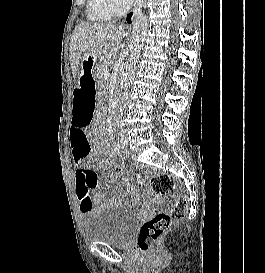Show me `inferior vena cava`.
Returning a JSON list of instances; mask_svg holds the SVG:
<instances>
[{
	"label": "inferior vena cava",
	"mask_w": 265,
	"mask_h": 273,
	"mask_svg": "<svg viewBox=\"0 0 265 273\" xmlns=\"http://www.w3.org/2000/svg\"><path fill=\"white\" fill-rule=\"evenodd\" d=\"M133 4V0H124V3L122 5L123 13H125Z\"/></svg>",
	"instance_id": "inferior-vena-cava-1"
}]
</instances>
